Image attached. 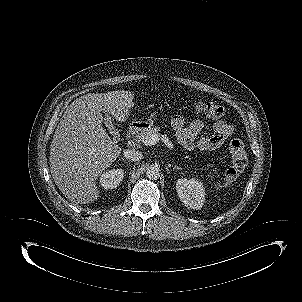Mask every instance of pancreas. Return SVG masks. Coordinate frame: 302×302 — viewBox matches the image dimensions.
Returning <instances> with one entry per match:
<instances>
[{
    "label": "pancreas",
    "instance_id": "obj_1",
    "mask_svg": "<svg viewBox=\"0 0 302 302\" xmlns=\"http://www.w3.org/2000/svg\"><path fill=\"white\" fill-rule=\"evenodd\" d=\"M159 131H160V128L158 126L151 127L149 129L139 133L137 135V139H138V141L143 142V140H145V138L150 137V136L155 135V134H159Z\"/></svg>",
    "mask_w": 302,
    "mask_h": 302
}]
</instances>
